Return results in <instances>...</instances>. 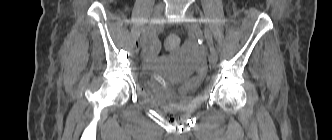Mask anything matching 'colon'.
<instances>
[{"mask_svg":"<svg viewBox=\"0 0 332 140\" xmlns=\"http://www.w3.org/2000/svg\"><path fill=\"white\" fill-rule=\"evenodd\" d=\"M179 38L175 35L169 36L164 42V49L168 52L175 51L179 46Z\"/></svg>","mask_w":332,"mask_h":140,"instance_id":"5ec220e1","label":"colon"}]
</instances>
